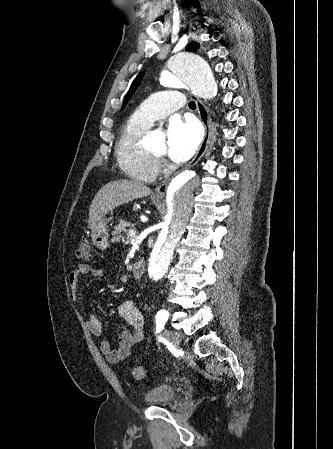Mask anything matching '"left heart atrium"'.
Listing matches in <instances>:
<instances>
[{"label":"left heart atrium","mask_w":333,"mask_h":449,"mask_svg":"<svg viewBox=\"0 0 333 449\" xmlns=\"http://www.w3.org/2000/svg\"><path fill=\"white\" fill-rule=\"evenodd\" d=\"M201 139L199 127L192 121L173 119L167 129V153L175 162L188 160Z\"/></svg>","instance_id":"1"}]
</instances>
